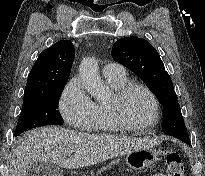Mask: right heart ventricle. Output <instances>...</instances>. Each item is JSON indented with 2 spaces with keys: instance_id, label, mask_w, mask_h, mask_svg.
Here are the masks:
<instances>
[{
  "instance_id": "e07e8e85",
  "label": "right heart ventricle",
  "mask_w": 205,
  "mask_h": 176,
  "mask_svg": "<svg viewBox=\"0 0 205 176\" xmlns=\"http://www.w3.org/2000/svg\"><path fill=\"white\" fill-rule=\"evenodd\" d=\"M106 82L116 92L128 83L127 76L124 77H105ZM96 115L91 124V129L94 133L100 135H110L120 131V128L115 121L111 112V102H97Z\"/></svg>"
}]
</instances>
